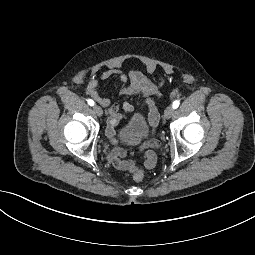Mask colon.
I'll list each match as a JSON object with an SVG mask.
<instances>
[{"mask_svg": "<svg viewBox=\"0 0 255 255\" xmlns=\"http://www.w3.org/2000/svg\"><path fill=\"white\" fill-rule=\"evenodd\" d=\"M177 96H178V91H174V92H172L171 95H170L171 99H173V98H175V97H177ZM144 178H145V173H144V171L141 170V169H138V170H136V171L133 173V179H134V181H136V182H141V181L144 180Z\"/></svg>", "mask_w": 255, "mask_h": 255, "instance_id": "5ec220e1", "label": "colon"}]
</instances>
